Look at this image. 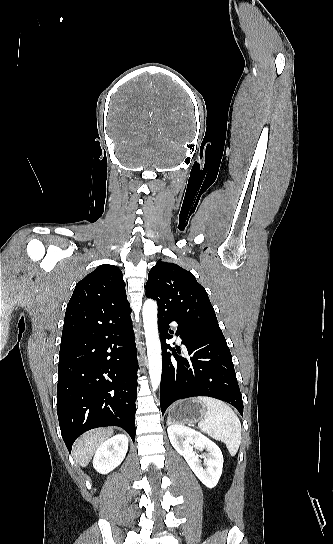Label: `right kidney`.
<instances>
[{
    "label": "right kidney",
    "mask_w": 333,
    "mask_h": 544,
    "mask_svg": "<svg viewBox=\"0 0 333 544\" xmlns=\"http://www.w3.org/2000/svg\"><path fill=\"white\" fill-rule=\"evenodd\" d=\"M128 450V438L118 434L99 446L94 459L93 467L101 474H108L124 460Z\"/></svg>",
    "instance_id": "right-kidney-1"
}]
</instances>
